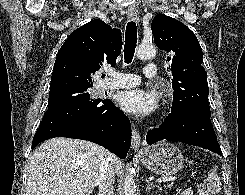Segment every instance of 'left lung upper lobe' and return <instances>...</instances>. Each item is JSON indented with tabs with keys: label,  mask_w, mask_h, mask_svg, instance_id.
<instances>
[{
	"label": "left lung upper lobe",
	"mask_w": 245,
	"mask_h": 195,
	"mask_svg": "<svg viewBox=\"0 0 245 195\" xmlns=\"http://www.w3.org/2000/svg\"><path fill=\"white\" fill-rule=\"evenodd\" d=\"M156 46L171 56L173 103L171 111L197 108L210 112L207 73L201 65L203 53L194 33L182 22L157 15L151 24Z\"/></svg>",
	"instance_id": "5c2ea615"
}]
</instances>
